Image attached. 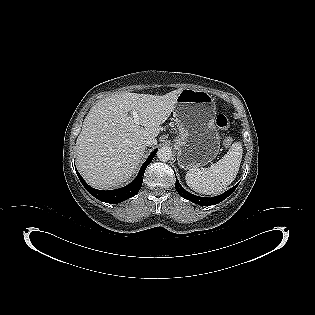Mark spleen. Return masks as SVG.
Here are the masks:
<instances>
[{"label":"spleen","instance_id":"1","mask_svg":"<svg viewBox=\"0 0 315 315\" xmlns=\"http://www.w3.org/2000/svg\"><path fill=\"white\" fill-rule=\"evenodd\" d=\"M243 149L235 142L227 154L208 168L192 169L185 175L187 185L200 194H218L226 189L236 178L240 168Z\"/></svg>","mask_w":315,"mask_h":315}]
</instances>
